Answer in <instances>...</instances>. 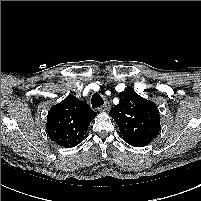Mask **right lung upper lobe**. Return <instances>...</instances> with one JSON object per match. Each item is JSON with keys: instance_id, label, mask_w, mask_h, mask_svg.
Returning <instances> with one entry per match:
<instances>
[{"instance_id": "cb5924a9", "label": "right lung upper lobe", "mask_w": 201, "mask_h": 201, "mask_svg": "<svg viewBox=\"0 0 201 201\" xmlns=\"http://www.w3.org/2000/svg\"><path fill=\"white\" fill-rule=\"evenodd\" d=\"M96 115L85 102L69 94L48 112V136L60 146H76L82 142L89 123Z\"/></svg>"}]
</instances>
